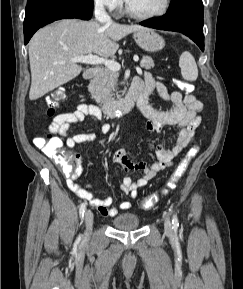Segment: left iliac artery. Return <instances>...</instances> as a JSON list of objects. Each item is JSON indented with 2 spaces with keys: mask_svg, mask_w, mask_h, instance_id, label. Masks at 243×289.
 <instances>
[{
  "mask_svg": "<svg viewBox=\"0 0 243 289\" xmlns=\"http://www.w3.org/2000/svg\"><path fill=\"white\" fill-rule=\"evenodd\" d=\"M172 224H173V228H175V229H177L179 227V222H178V218H177L176 214L173 215Z\"/></svg>",
  "mask_w": 243,
  "mask_h": 289,
  "instance_id": "left-iliac-artery-1",
  "label": "left iliac artery"
}]
</instances>
